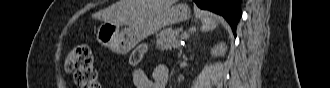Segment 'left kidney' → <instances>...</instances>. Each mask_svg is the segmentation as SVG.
<instances>
[{"label":"left kidney","mask_w":330,"mask_h":88,"mask_svg":"<svg viewBox=\"0 0 330 88\" xmlns=\"http://www.w3.org/2000/svg\"><path fill=\"white\" fill-rule=\"evenodd\" d=\"M227 51V46L225 43L221 42L217 44L212 50L211 55L212 56H224Z\"/></svg>","instance_id":"5707ae66"}]
</instances>
